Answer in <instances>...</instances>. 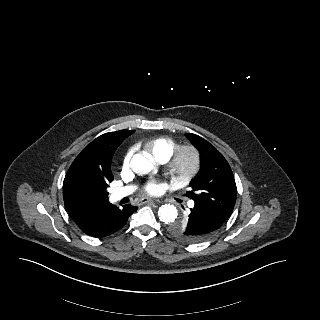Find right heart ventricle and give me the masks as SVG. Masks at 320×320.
I'll return each instance as SVG.
<instances>
[{
  "mask_svg": "<svg viewBox=\"0 0 320 320\" xmlns=\"http://www.w3.org/2000/svg\"><path fill=\"white\" fill-rule=\"evenodd\" d=\"M144 149L156 160H168L176 148L174 139L168 136H156L143 143Z\"/></svg>",
  "mask_w": 320,
  "mask_h": 320,
  "instance_id": "right-heart-ventricle-1",
  "label": "right heart ventricle"
}]
</instances>
